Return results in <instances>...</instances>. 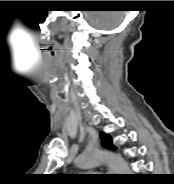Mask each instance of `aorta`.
I'll use <instances>...</instances> for the list:
<instances>
[{
  "label": "aorta",
  "instance_id": "aorta-1",
  "mask_svg": "<svg viewBox=\"0 0 174 184\" xmlns=\"http://www.w3.org/2000/svg\"><path fill=\"white\" fill-rule=\"evenodd\" d=\"M107 163L114 174H129L128 163L119 155L112 152L92 150L81 154L76 159V164L80 168H90Z\"/></svg>",
  "mask_w": 174,
  "mask_h": 184
}]
</instances>
